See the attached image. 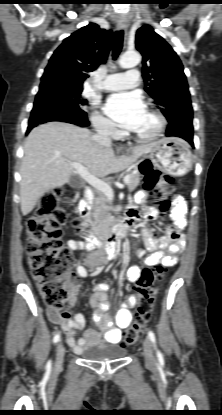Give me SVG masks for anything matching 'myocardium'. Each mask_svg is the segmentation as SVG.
<instances>
[{"instance_id": "obj_1", "label": "myocardium", "mask_w": 222, "mask_h": 415, "mask_svg": "<svg viewBox=\"0 0 222 415\" xmlns=\"http://www.w3.org/2000/svg\"><path fill=\"white\" fill-rule=\"evenodd\" d=\"M146 110L148 112H150L152 115H154L155 118L157 119L158 126H157L156 130L150 135L137 134V133L132 132L131 130L128 132V134L134 140H136L138 142H141V143H149V142H153V141L157 140L163 134V132L166 128V125H167V120H166L165 116L158 109H156L152 106H147Z\"/></svg>"}]
</instances>
